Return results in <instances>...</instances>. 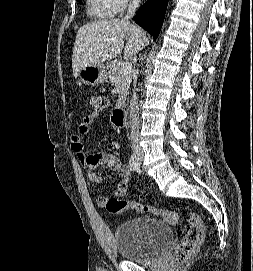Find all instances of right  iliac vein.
Returning <instances> with one entry per match:
<instances>
[{"instance_id":"right-iliac-vein-1","label":"right iliac vein","mask_w":253,"mask_h":271,"mask_svg":"<svg viewBox=\"0 0 253 271\" xmlns=\"http://www.w3.org/2000/svg\"><path fill=\"white\" fill-rule=\"evenodd\" d=\"M135 157H136L137 160H142L143 153L142 152H135Z\"/></svg>"}]
</instances>
